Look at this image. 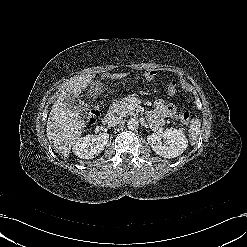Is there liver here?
Here are the masks:
<instances>
[{"instance_id": "obj_1", "label": "liver", "mask_w": 247, "mask_h": 247, "mask_svg": "<svg viewBox=\"0 0 247 247\" xmlns=\"http://www.w3.org/2000/svg\"><path fill=\"white\" fill-rule=\"evenodd\" d=\"M128 74H111L110 79L124 78ZM95 74H86L70 78L62 84L57 100L52 106L47 120V137L54 144V149L64 157L70 153L71 146L80 138L86 127V122L81 119L80 113L67 107L64 99L67 93L77 95L82 89L92 82Z\"/></svg>"}]
</instances>
